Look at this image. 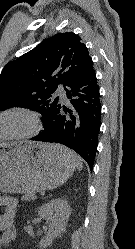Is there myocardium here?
I'll list each match as a JSON object with an SVG mask.
<instances>
[{
  "instance_id": "1",
  "label": "myocardium",
  "mask_w": 135,
  "mask_h": 249,
  "mask_svg": "<svg viewBox=\"0 0 135 249\" xmlns=\"http://www.w3.org/2000/svg\"><path fill=\"white\" fill-rule=\"evenodd\" d=\"M7 115H21L28 120L29 128L24 132L10 134L0 137V142L14 140H28L35 137L41 129V120L39 114L24 106H11L0 111V118Z\"/></svg>"
}]
</instances>
